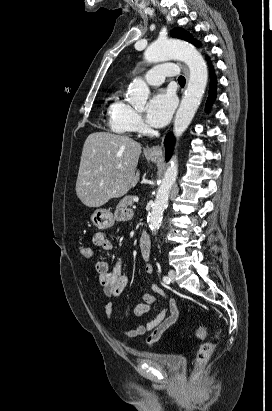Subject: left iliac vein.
I'll list each match as a JSON object with an SVG mask.
<instances>
[{"mask_svg": "<svg viewBox=\"0 0 272 411\" xmlns=\"http://www.w3.org/2000/svg\"><path fill=\"white\" fill-rule=\"evenodd\" d=\"M168 276H169L171 282H174V281H175V277H176V272H175L174 270H169Z\"/></svg>", "mask_w": 272, "mask_h": 411, "instance_id": "4c4485c4", "label": "left iliac vein"}]
</instances>
